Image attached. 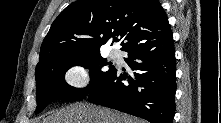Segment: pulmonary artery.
I'll list each match as a JSON object with an SVG mask.
<instances>
[{"instance_id":"obj_1","label":"pulmonary artery","mask_w":221,"mask_h":123,"mask_svg":"<svg viewBox=\"0 0 221 123\" xmlns=\"http://www.w3.org/2000/svg\"><path fill=\"white\" fill-rule=\"evenodd\" d=\"M113 56H114V57H118L119 54H118L117 52H114V53H113Z\"/></svg>"}]
</instances>
